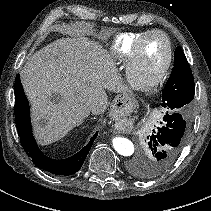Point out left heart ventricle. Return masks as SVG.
<instances>
[{
    "instance_id": "1",
    "label": "left heart ventricle",
    "mask_w": 211,
    "mask_h": 211,
    "mask_svg": "<svg viewBox=\"0 0 211 211\" xmlns=\"http://www.w3.org/2000/svg\"><path fill=\"white\" fill-rule=\"evenodd\" d=\"M167 55L165 39L160 35L147 38L142 46L141 55L136 70V78L140 82L151 80L164 63Z\"/></svg>"
}]
</instances>
